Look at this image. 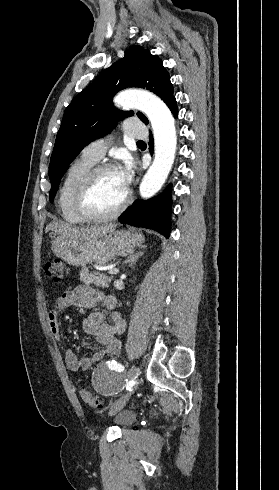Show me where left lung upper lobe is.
Here are the masks:
<instances>
[{
	"label": "left lung upper lobe",
	"mask_w": 279,
	"mask_h": 490,
	"mask_svg": "<svg viewBox=\"0 0 279 490\" xmlns=\"http://www.w3.org/2000/svg\"><path fill=\"white\" fill-rule=\"evenodd\" d=\"M126 87L146 88L166 104L173 97L170 76L161 59L141 46L131 47L124 58L102 71L65 110L49 165L50 201L54 199L66 168L83 147L110 133L117 120L133 115L132 111H119L113 107L112 97ZM137 115L148 124L144 114L138 112Z\"/></svg>",
	"instance_id": "obj_1"
}]
</instances>
